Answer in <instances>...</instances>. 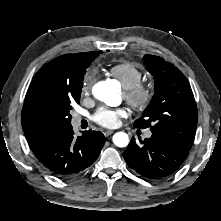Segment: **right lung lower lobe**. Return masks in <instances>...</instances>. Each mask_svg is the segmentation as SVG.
<instances>
[{
	"instance_id": "98d812e1",
	"label": "right lung lower lobe",
	"mask_w": 221,
	"mask_h": 221,
	"mask_svg": "<svg viewBox=\"0 0 221 221\" xmlns=\"http://www.w3.org/2000/svg\"><path fill=\"white\" fill-rule=\"evenodd\" d=\"M105 136L97 131H82L74 136L71 125L64 127L33 152L42 166L58 178L83 173L98 158Z\"/></svg>"
}]
</instances>
